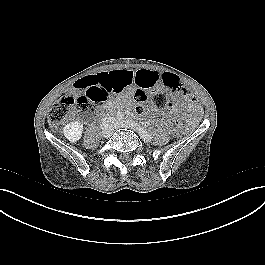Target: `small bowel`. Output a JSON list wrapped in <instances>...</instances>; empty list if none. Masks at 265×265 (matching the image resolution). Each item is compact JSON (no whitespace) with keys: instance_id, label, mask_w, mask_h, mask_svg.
Instances as JSON below:
<instances>
[{"instance_id":"1","label":"small bowel","mask_w":265,"mask_h":265,"mask_svg":"<svg viewBox=\"0 0 265 265\" xmlns=\"http://www.w3.org/2000/svg\"><path fill=\"white\" fill-rule=\"evenodd\" d=\"M160 74V72L152 70H140L137 72L132 70H114L99 73L95 75V77H107L110 79L113 87L117 90L116 92H120L132 85H137L142 89H155L161 87L159 83ZM189 96H191V94ZM175 110L176 108L174 106L169 107L170 112Z\"/></svg>"}]
</instances>
